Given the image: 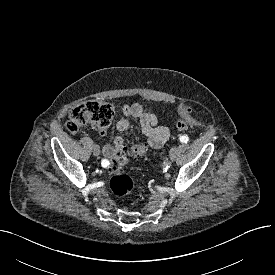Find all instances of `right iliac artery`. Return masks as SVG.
Masks as SVG:
<instances>
[{"label":"right iliac artery","mask_w":275,"mask_h":275,"mask_svg":"<svg viewBox=\"0 0 275 275\" xmlns=\"http://www.w3.org/2000/svg\"><path fill=\"white\" fill-rule=\"evenodd\" d=\"M101 165H102L103 167H107V166L109 165V161L106 160V159H103L102 162H101Z\"/></svg>","instance_id":"right-iliac-artery-1"}]
</instances>
